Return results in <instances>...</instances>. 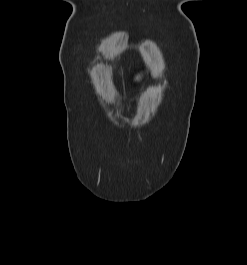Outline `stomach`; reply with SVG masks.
Returning <instances> with one entry per match:
<instances>
[{"label": "stomach", "instance_id": "1", "mask_svg": "<svg viewBox=\"0 0 247 265\" xmlns=\"http://www.w3.org/2000/svg\"><path fill=\"white\" fill-rule=\"evenodd\" d=\"M142 77H143V73H139V74H137L135 77H134V81L135 82H140V80L142 79Z\"/></svg>", "mask_w": 247, "mask_h": 265}]
</instances>
